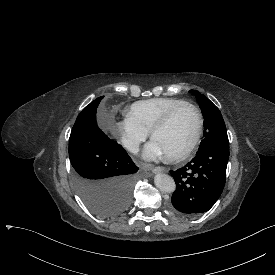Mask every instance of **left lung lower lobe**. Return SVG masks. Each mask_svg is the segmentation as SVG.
<instances>
[{"mask_svg": "<svg viewBox=\"0 0 275 275\" xmlns=\"http://www.w3.org/2000/svg\"><path fill=\"white\" fill-rule=\"evenodd\" d=\"M229 143L203 148L184 167L170 171L176 183L171 209L185 216L208 211L220 197L226 180Z\"/></svg>", "mask_w": 275, "mask_h": 275, "instance_id": "0a47b994", "label": "left lung lower lobe"}]
</instances>
